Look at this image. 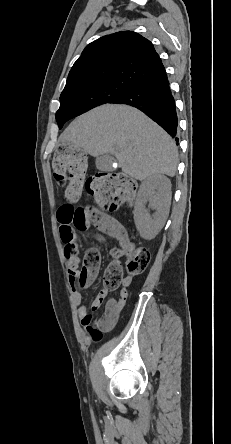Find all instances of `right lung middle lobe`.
I'll return each mask as SVG.
<instances>
[{
  "mask_svg": "<svg viewBox=\"0 0 231 444\" xmlns=\"http://www.w3.org/2000/svg\"><path fill=\"white\" fill-rule=\"evenodd\" d=\"M133 86L122 83H106L82 89L65 90L60 96V108L56 113L59 129L74 118L96 106L115 103Z\"/></svg>",
  "mask_w": 231,
  "mask_h": 444,
  "instance_id": "1",
  "label": "right lung middle lobe"
}]
</instances>
